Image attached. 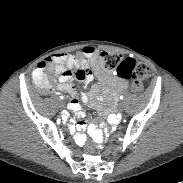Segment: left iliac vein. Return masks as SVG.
Segmentation results:
<instances>
[{"label": "left iliac vein", "mask_w": 183, "mask_h": 183, "mask_svg": "<svg viewBox=\"0 0 183 183\" xmlns=\"http://www.w3.org/2000/svg\"><path fill=\"white\" fill-rule=\"evenodd\" d=\"M119 108H120V110H122L123 109V106L122 105H119Z\"/></svg>", "instance_id": "obj_1"}]
</instances>
